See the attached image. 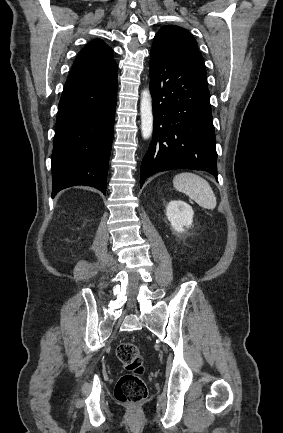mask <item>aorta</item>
<instances>
[{"label": "aorta", "instance_id": "762f6f07", "mask_svg": "<svg viewBox=\"0 0 283 433\" xmlns=\"http://www.w3.org/2000/svg\"><path fill=\"white\" fill-rule=\"evenodd\" d=\"M140 114H141V133L144 139L151 137L153 133V111H152V99L148 89L142 91L141 102H140Z\"/></svg>", "mask_w": 283, "mask_h": 433}]
</instances>
